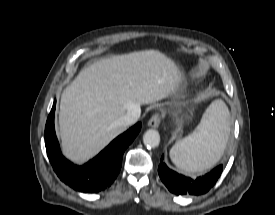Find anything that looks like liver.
Returning <instances> with one entry per match:
<instances>
[{
	"instance_id": "obj_1",
	"label": "liver",
	"mask_w": 275,
	"mask_h": 215,
	"mask_svg": "<svg viewBox=\"0 0 275 215\" xmlns=\"http://www.w3.org/2000/svg\"><path fill=\"white\" fill-rule=\"evenodd\" d=\"M182 80L175 62L157 50L114 55L85 67L61 96L63 153L84 163L126 130L118 121L129 109L168 97Z\"/></svg>"
}]
</instances>
